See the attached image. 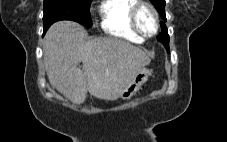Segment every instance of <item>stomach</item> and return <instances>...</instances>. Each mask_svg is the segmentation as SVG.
<instances>
[{
    "instance_id": "obj_1",
    "label": "stomach",
    "mask_w": 227,
    "mask_h": 142,
    "mask_svg": "<svg viewBox=\"0 0 227 142\" xmlns=\"http://www.w3.org/2000/svg\"><path fill=\"white\" fill-rule=\"evenodd\" d=\"M151 75V71L147 68H141L132 82L127 86L124 92L121 94L122 99L131 98L140 88L141 86L147 82L149 76Z\"/></svg>"
}]
</instances>
